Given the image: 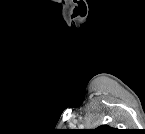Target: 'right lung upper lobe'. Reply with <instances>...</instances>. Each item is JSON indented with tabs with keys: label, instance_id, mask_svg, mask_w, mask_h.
<instances>
[{
	"label": "right lung upper lobe",
	"instance_id": "right-lung-upper-lobe-1",
	"mask_svg": "<svg viewBox=\"0 0 145 134\" xmlns=\"http://www.w3.org/2000/svg\"><path fill=\"white\" fill-rule=\"evenodd\" d=\"M114 130L115 129H113V128L107 126V125H102V126L95 129V131H97L98 133H110Z\"/></svg>",
	"mask_w": 145,
	"mask_h": 134
}]
</instances>
